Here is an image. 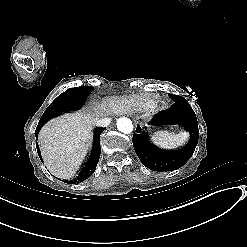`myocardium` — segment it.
I'll list each match as a JSON object with an SVG mask.
<instances>
[{
    "instance_id": "1",
    "label": "myocardium",
    "mask_w": 247,
    "mask_h": 247,
    "mask_svg": "<svg viewBox=\"0 0 247 247\" xmlns=\"http://www.w3.org/2000/svg\"><path fill=\"white\" fill-rule=\"evenodd\" d=\"M153 102H154V109L159 108L161 106V104H162V101H161V99L159 97H155L153 99Z\"/></svg>"
}]
</instances>
